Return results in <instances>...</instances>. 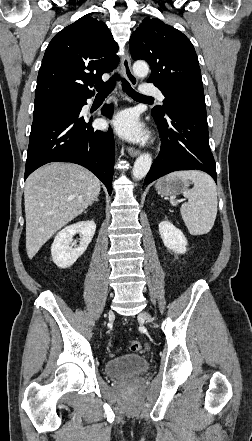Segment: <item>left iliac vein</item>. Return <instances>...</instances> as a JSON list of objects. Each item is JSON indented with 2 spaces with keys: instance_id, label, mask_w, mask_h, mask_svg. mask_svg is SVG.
I'll return each instance as SVG.
<instances>
[{
  "instance_id": "4c4485c4",
  "label": "left iliac vein",
  "mask_w": 252,
  "mask_h": 441,
  "mask_svg": "<svg viewBox=\"0 0 252 441\" xmlns=\"http://www.w3.org/2000/svg\"><path fill=\"white\" fill-rule=\"evenodd\" d=\"M139 317L145 319L147 322H150L151 320L150 315L146 311L140 313Z\"/></svg>"
}]
</instances>
